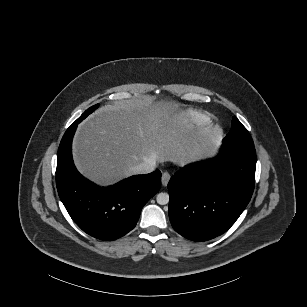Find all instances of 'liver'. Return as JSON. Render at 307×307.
Segmentation results:
<instances>
[{
    "label": "liver",
    "instance_id": "liver-1",
    "mask_svg": "<svg viewBox=\"0 0 307 307\" xmlns=\"http://www.w3.org/2000/svg\"><path fill=\"white\" fill-rule=\"evenodd\" d=\"M183 108L152 95L109 101L81 123L72 145L77 172L100 187L132 176L148 160L184 167L199 162L198 137L181 122Z\"/></svg>",
    "mask_w": 307,
    "mask_h": 307
}]
</instances>
